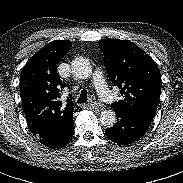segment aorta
<instances>
[{"label": "aorta", "mask_w": 183, "mask_h": 183, "mask_svg": "<svg viewBox=\"0 0 183 183\" xmlns=\"http://www.w3.org/2000/svg\"><path fill=\"white\" fill-rule=\"evenodd\" d=\"M71 67L72 73L79 79H87L92 74V66L86 58H75ZM99 121L103 127L111 128L116 122V114L113 110H104L99 116Z\"/></svg>", "instance_id": "obj_1"}]
</instances>
